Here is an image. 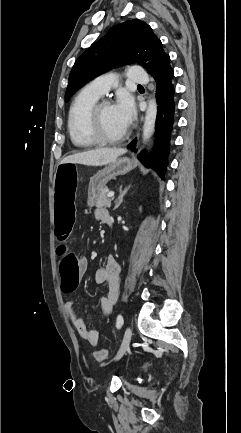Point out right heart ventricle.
<instances>
[{"label":"right heart ventricle","mask_w":241,"mask_h":433,"mask_svg":"<svg viewBox=\"0 0 241 433\" xmlns=\"http://www.w3.org/2000/svg\"><path fill=\"white\" fill-rule=\"evenodd\" d=\"M99 96L82 89L71 104L68 115V131L72 144L80 149L94 147L97 143L90 136L87 128L88 116Z\"/></svg>","instance_id":"1"}]
</instances>
